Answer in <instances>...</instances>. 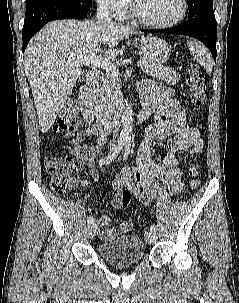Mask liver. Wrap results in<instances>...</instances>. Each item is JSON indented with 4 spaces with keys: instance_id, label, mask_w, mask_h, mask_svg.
Listing matches in <instances>:
<instances>
[{
    "instance_id": "liver-1",
    "label": "liver",
    "mask_w": 239,
    "mask_h": 303,
    "mask_svg": "<svg viewBox=\"0 0 239 303\" xmlns=\"http://www.w3.org/2000/svg\"><path fill=\"white\" fill-rule=\"evenodd\" d=\"M128 26L104 21L57 20L46 24L29 42L24 54L28 78L42 133L55 122L82 74L77 58L99 51L108 45L106 54L115 57V46L126 36L135 34Z\"/></svg>"
}]
</instances>
